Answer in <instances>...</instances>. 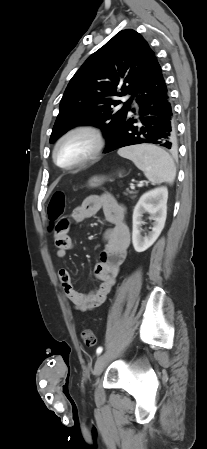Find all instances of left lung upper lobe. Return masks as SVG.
<instances>
[{"label":"left lung upper lobe","mask_w":207,"mask_h":449,"mask_svg":"<svg viewBox=\"0 0 207 449\" xmlns=\"http://www.w3.org/2000/svg\"><path fill=\"white\" fill-rule=\"evenodd\" d=\"M155 53L133 30H122L93 53L70 80L60 102L50 143L77 125L102 130L109 144L124 123L132 99L121 109L115 96L140 91L153 65Z\"/></svg>","instance_id":"5c2ea615"}]
</instances>
